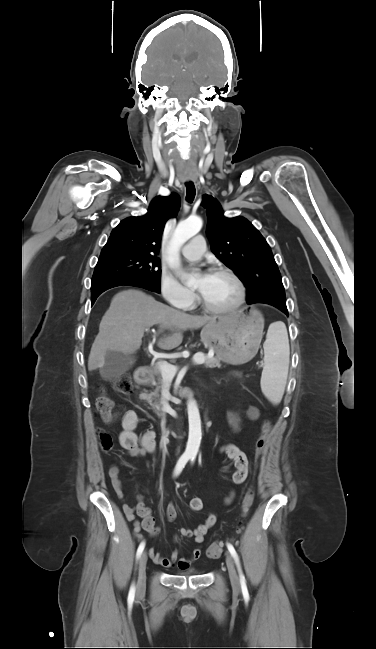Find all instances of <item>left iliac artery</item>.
<instances>
[{
  "label": "left iliac artery",
  "instance_id": "obj_1",
  "mask_svg": "<svg viewBox=\"0 0 376 649\" xmlns=\"http://www.w3.org/2000/svg\"><path fill=\"white\" fill-rule=\"evenodd\" d=\"M194 459H195V457L192 456V457H191V461H194ZM227 548H228L229 552L231 553V555L233 556L234 560L236 561V563H237V565H238L239 573H240V582H241V587H242V590H243L244 592H246V591H247L246 580H245V577H244V575H243V573H242V571H241L240 565H239V559H238L237 552H236L235 548L233 547V545L230 544V543H227Z\"/></svg>",
  "mask_w": 376,
  "mask_h": 649
}]
</instances>
